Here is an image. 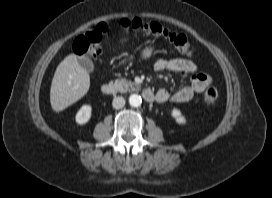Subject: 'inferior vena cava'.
Masks as SVG:
<instances>
[{"mask_svg":"<svg viewBox=\"0 0 272 198\" xmlns=\"http://www.w3.org/2000/svg\"><path fill=\"white\" fill-rule=\"evenodd\" d=\"M124 105H125V99H124L122 96H120V97H115V98L113 99V102H112L113 108H115V109H120V108H123Z\"/></svg>","mask_w":272,"mask_h":198,"instance_id":"inferior-vena-cava-1","label":"inferior vena cava"}]
</instances>
